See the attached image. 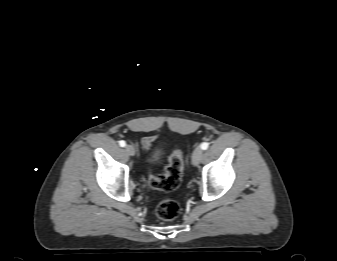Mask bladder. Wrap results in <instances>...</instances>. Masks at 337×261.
Here are the masks:
<instances>
[{
	"label": "bladder",
	"instance_id": "bladder-1",
	"mask_svg": "<svg viewBox=\"0 0 337 261\" xmlns=\"http://www.w3.org/2000/svg\"><path fill=\"white\" fill-rule=\"evenodd\" d=\"M165 149L162 146H158L155 149H153L149 156L147 157V162L152 164L160 161V159L164 156Z\"/></svg>",
	"mask_w": 337,
	"mask_h": 261
}]
</instances>
